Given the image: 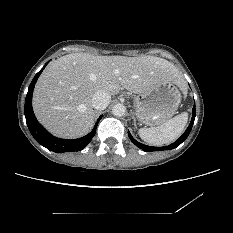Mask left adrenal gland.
Instances as JSON below:
<instances>
[{"mask_svg": "<svg viewBox=\"0 0 233 233\" xmlns=\"http://www.w3.org/2000/svg\"><path fill=\"white\" fill-rule=\"evenodd\" d=\"M132 119H133V122H134V126H135V128H137V125H136V119H135V117H134V116H132Z\"/></svg>", "mask_w": 233, "mask_h": 233, "instance_id": "left-adrenal-gland-1", "label": "left adrenal gland"}]
</instances>
